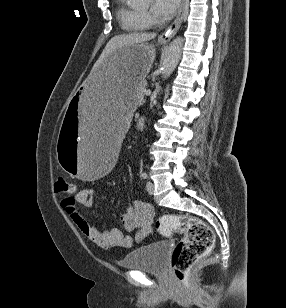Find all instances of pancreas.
I'll use <instances>...</instances> for the list:
<instances>
[{
  "label": "pancreas",
  "mask_w": 286,
  "mask_h": 308,
  "mask_svg": "<svg viewBox=\"0 0 286 308\" xmlns=\"http://www.w3.org/2000/svg\"><path fill=\"white\" fill-rule=\"evenodd\" d=\"M145 86H146L145 81H143L135 89V97L138 104H142L144 102V95H145L144 90H146Z\"/></svg>",
  "instance_id": "1"
}]
</instances>
